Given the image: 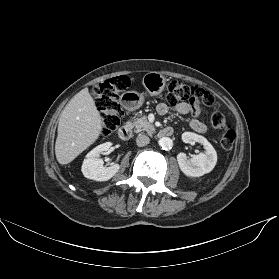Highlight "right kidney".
I'll return each mask as SVG.
<instances>
[{
    "mask_svg": "<svg viewBox=\"0 0 279 279\" xmlns=\"http://www.w3.org/2000/svg\"><path fill=\"white\" fill-rule=\"evenodd\" d=\"M111 145L110 142L100 144L86 155L81 169L84 177L95 181H108L118 172L119 164L104 167L103 159L100 158V154H107L110 151Z\"/></svg>",
    "mask_w": 279,
    "mask_h": 279,
    "instance_id": "right-kidney-1",
    "label": "right kidney"
}]
</instances>
